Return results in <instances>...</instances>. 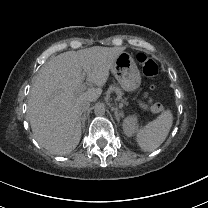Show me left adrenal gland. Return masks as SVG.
I'll use <instances>...</instances> for the list:
<instances>
[{"label":"left adrenal gland","mask_w":208,"mask_h":208,"mask_svg":"<svg viewBox=\"0 0 208 208\" xmlns=\"http://www.w3.org/2000/svg\"><path fill=\"white\" fill-rule=\"evenodd\" d=\"M122 108V107H120ZM112 111H114V117L115 119L119 122L121 118H123V114L122 113H118V109L117 108H111Z\"/></svg>","instance_id":"left-adrenal-gland-1"}]
</instances>
